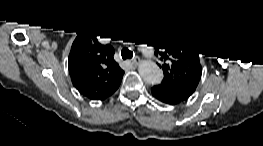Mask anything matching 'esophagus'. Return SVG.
I'll return each instance as SVG.
<instances>
[{"label":"esophagus","mask_w":263,"mask_h":146,"mask_svg":"<svg viewBox=\"0 0 263 146\" xmlns=\"http://www.w3.org/2000/svg\"><path fill=\"white\" fill-rule=\"evenodd\" d=\"M132 65L133 66H138L139 63H140V58L139 57H135L133 60H132Z\"/></svg>","instance_id":"obj_1"}]
</instances>
